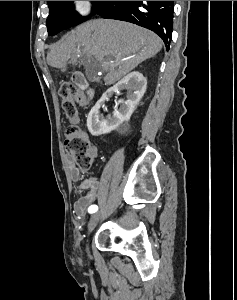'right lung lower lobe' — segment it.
Masks as SVG:
<instances>
[{"instance_id":"1","label":"right lung lower lobe","mask_w":237,"mask_h":300,"mask_svg":"<svg viewBox=\"0 0 237 300\" xmlns=\"http://www.w3.org/2000/svg\"><path fill=\"white\" fill-rule=\"evenodd\" d=\"M174 1H105L96 11L103 18L128 21L158 34L169 50Z\"/></svg>"}]
</instances>
